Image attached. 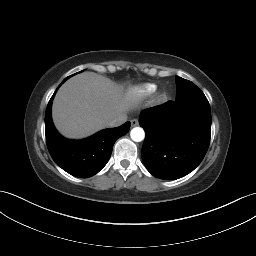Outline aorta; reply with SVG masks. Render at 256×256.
Segmentation results:
<instances>
[{
    "mask_svg": "<svg viewBox=\"0 0 256 256\" xmlns=\"http://www.w3.org/2000/svg\"><path fill=\"white\" fill-rule=\"evenodd\" d=\"M131 139L135 142H140L145 138V132L141 127H135L130 132Z\"/></svg>",
    "mask_w": 256,
    "mask_h": 256,
    "instance_id": "762f6f07",
    "label": "aorta"
}]
</instances>
